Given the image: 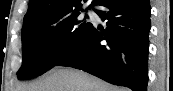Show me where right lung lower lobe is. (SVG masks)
<instances>
[{"label":"right lung lower lobe","instance_id":"obj_1","mask_svg":"<svg viewBox=\"0 0 173 91\" xmlns=\"http://www.w3.org/2000/svg\"><path fill=\"white\" fill-rule=\"evenodd\" d=\"M95 10L107 27L92 26L82 41L55 66L86 71L107 82L146 91L150 12L149 0H98Z\"/></svg>","mask_w":173,"mask_h":91}]
</instances>
